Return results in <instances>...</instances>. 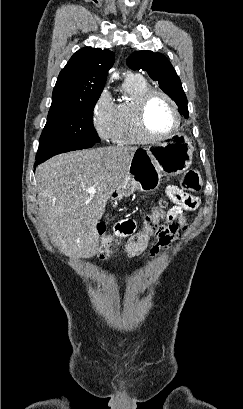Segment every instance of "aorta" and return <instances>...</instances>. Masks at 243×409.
I'll use <instances>...</instances> for the list:
<instances>
[{"label":"aorta","mask_w":243,"mask_h":409,"mask_svg":"<svg viewBox=\"0 0 243 409\" xmlns=\"http://www.w3.org/2000/svg\"><path fill=\"white\" fill-rule=\"evenodd\" d=\"M114 76L117 77L118 75H117V74H114Z\"/></svg>","instance_id":"1"}]
</instances>
